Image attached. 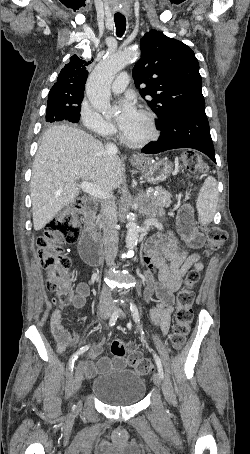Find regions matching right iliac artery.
I'll return each mask as SVG.
<instances>
[{"mask_svg":"<svg viewBox=\"0 0 250 454\" xmlns=\"http://www.w3.org/2000/svg\"><path fill=\"white\" fill-rule=\"evenodd\" d=\"M118 318V310L115 311L110 320H109V325L112 327L115 325V322ZM89 345H86V346H83L81 347L79 350H77L69 359V369L71 370V372H73V368H74V362L75 360L81 355L83 354L84 352H86L88 349H89Z\"/></svg>","mask_w":250,"mask_h":454,"instance_id":"right-iliac-artery-1","label":"right iliac artery"}]
</instances>
